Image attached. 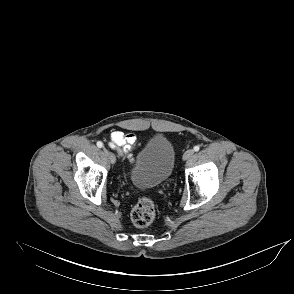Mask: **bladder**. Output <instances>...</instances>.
Instances as JSON below:
<instances>
[{
    "label": "bladder",
    "mask_w": 294,
    "mask_h": 294,
    "mask_svg": "<svg viewBox=\"0 0 294 294\" xmlns=\"http://www.w3.org/2000/svg\"><path fill=\"white\" fill-rule=\"evenodd\" d=\"M175 148L163 134L153 136L139 152L132 173L138 188L157 187L168 180L175 164Z\"/></svg>",
    "instance_id": "bladder-1"
}]
</instances>
